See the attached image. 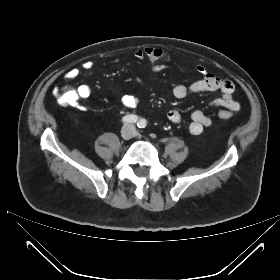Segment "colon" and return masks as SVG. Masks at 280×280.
Wrapping results in <instances>:
<instances>
[{
  "label": "colon",
  "mask_w": 280,
  "mask_h": 280,
  "mask_svg": "<svg viewBox=\"0 0 280 280\" xmlns=\"http://www.w3.org/2000/svg\"><path fill=\"white\" fill-rule=\"evenodd\" d=\"M55 97L57 102L63 106L72 105L78 100L76 91L70 86H66L62 90L57 91ZM219 117L222 119H229L230 115L228 113H221Z\"/></svg>",
  "instance_id": "obj_1"
}]
</instances>
